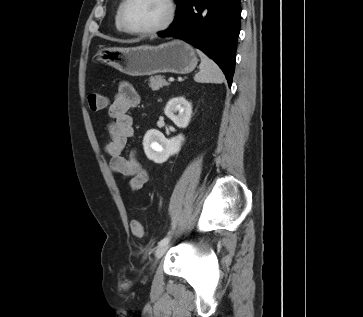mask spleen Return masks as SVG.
<instances>
[{"label":"spleen","instance_id":"spleen-1","mask_svg":"<svg viewBox=\"0 0 363 317\" xmlns=\"http://www.w3.org/2000/svg\"><path fill=\"white\" fill-rule=\"evenodd\" d=\"M201 59L200 71L194 76L199 83H222L225 76L219 66L202 51L197 50Z\"/></svg>","mask_w":363,"mask_h":317}]
</instances>
